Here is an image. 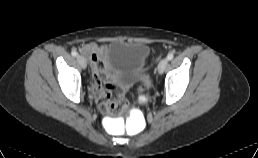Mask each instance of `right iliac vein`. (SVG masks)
<instances>
[{
    "label": "right iliac vein",
    "instance_id": "1",
    "mask_svg": "<svg viewBox=\"0 0 258 158\" xmlns=\"http://www.w3.org/2000/svg\"><path fill=\"white\" fill-rule=\"evenodd\" d=\"M77 59V62L79 63V65L85 69L87 67V62H86V59L82 56V55H78L76 57Z\"/></svg>",
    "mask_w": 258,
    "mask_h": 158
}]
</instances>
